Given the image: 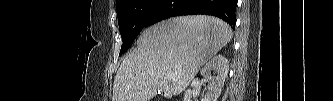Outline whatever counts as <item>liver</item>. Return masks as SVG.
<instances>
[{
    "label": "liver",
    "mask_w": 333,
    "mask_h": 101,
    "mask_svg": "<svg viewBox=\"0 0 333 101\" xmlns=\"http://www.w3.org/2000/svg\"><path fill=\"white\" fill-rule=\"evenodd\" d=\"M231 39L227 23L205 15L174 17L149 27L121 63L112 101H149L159 92L168 99L179 95Z\"/></svg>",
    "instance_id": "1"
}]
</instances>
